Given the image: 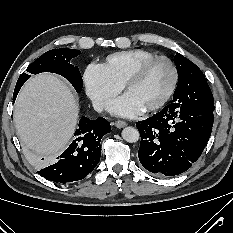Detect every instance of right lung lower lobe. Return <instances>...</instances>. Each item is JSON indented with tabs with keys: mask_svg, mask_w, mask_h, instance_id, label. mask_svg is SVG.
Masks as SVG:
<instances>
[{
	"mask_svg": "<svg viewBox=\"0 0 233 233\" xmlns=\"http://www.w3.org/2000/svg\"><path fill=\"white\" fill-rule=\"evenodd\" d=\"M23 83L16 84L13 101ZM111 131L109 122L99 117L90 120L82 117L75 139L51 165L38 171L42 177L57 183H72L85 178L98 164L101 156V138Z\"/></svg>",
	"mask_w": 233,
	"mask_h": 233,
	"instance_id": "98d812e1",
	"label": "right lung lower lobe"
}]
</instances>
